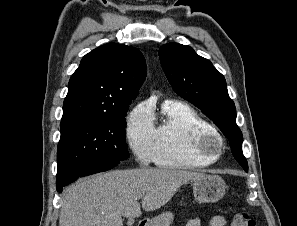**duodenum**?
Listing matches in <instances>:
<instances>
[{"label":"duodenum","mask_w":297,"mask_h":226,"mask_svg":"<svg viewBox=\"0 0 297 226\" xmlns=\"http://www.w3.org/2000/svg\"><path fill=\"white\" fill-rule=\"evenodd\" d=\"M149 220H143L140 222L139 226H148Z\"/></svg>","instance_id":"410a0bca"}]
</instances>
